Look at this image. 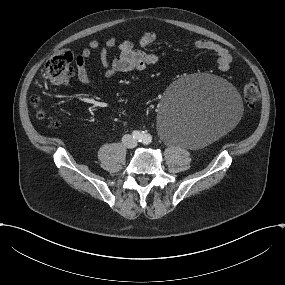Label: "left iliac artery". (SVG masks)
<instances>
[{
	"instance_id": "left-iliac-artery-1",
	"label": "left iliac artery",
	"mask_w": 285,
	"mask_h": 285,
	"mask_svg": "<svg viewBox=\"0 0 285 285\" xmlns=\"http://www.w3.org/2000/svg\"><path fill=\"white\" fill-rule=\"evenodd\" d=\"M150 142H151V136L148 135V134H145V135L143 136V143L146 144V145H148Z\"/></svg>"
}]
</instances>
